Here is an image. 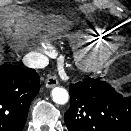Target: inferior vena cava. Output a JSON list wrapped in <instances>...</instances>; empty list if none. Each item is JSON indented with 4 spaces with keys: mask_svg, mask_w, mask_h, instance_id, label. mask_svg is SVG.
Wrapping results in <instances>:
<instances>
[{
    "mask_svg": "<svg viewBox=\"0 0 131 131\" xmlns=\"http://www.w3.org/2000/svg\"><path fill=\"white\" fill-rule=\"evenodd\" d=\"M23 63L30 68L39 69L48 65L49 59L37 52L28 53L23 57Z\"/></svg>",
    "mask_w": 131,
    "mask_h": 131,
    "instance_id": "1",
    "label": "inferior vena cava"
}]
</instances>
